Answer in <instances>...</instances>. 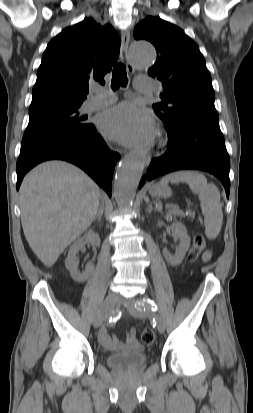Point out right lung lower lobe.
I'll return each mask as SVG.
<instances>
[{
    "label": "right lung lower lobe",
    "mask_w": 253,
    "mask_h": 413,
    "mask_svg": "<svg viewBox=\"0 0 253 413\" xmlns=\"http://www.w3.org/2000/svg\"><path fill=\"white\" fill-rule=\"evenodd\" d=\"M52 159L71 162L82 168L111 197L112 176L118 153L107 147L93 124L84 132L62 135L21 146L17 160V190L24 175L35 165Z\"/></svg>",
    "instance_id": "98d812e1"
}]
</instances>
